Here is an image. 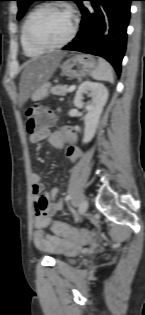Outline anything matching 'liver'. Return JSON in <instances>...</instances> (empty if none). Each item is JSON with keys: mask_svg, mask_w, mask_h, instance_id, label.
Segmentation results:
<instances>
[{"mask_svg": "<svg viewBox=\"0 0 145 315\" xmlns=\"http://www.w3.org/2000/svg\"><path fill=\"white\" fill-rule=\"evenodd\" d=\"M65 55V52L53 53L26 63L19 86L20 105H23L38 87L52 77Z\"/></svg>", "mask_w": 145, "mask_h": 315, "instance_id": "6515ba94", "label": "liver"}]
</instances>
